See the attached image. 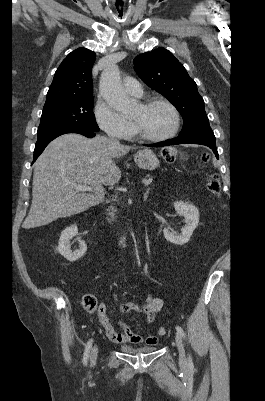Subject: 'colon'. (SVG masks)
I'll list each match as a JSON object with an SVG mask.
<instances>
[{"instance_id": "obj_1", "label": "colon", "mask_w": 265, "mask_h": 401, "mask_svg": "<svg viewBox=\"0 0 265 401\" xmlns=\"http://www.w3.org/2000/svg\"><path fill=\"white\" fill-rule=\"evenodd\" d=\"M162 157L171 163L181 162L187 159V154L185 151L174 148L167 147L164 148L161 152ZM202 161L206 162L207 157L205 155L202 156ZM207 189L208 191L214 195L219 196L221 191V183L219 176L216 173H211L207 177ZM83 306L88 312H94L98 308L97 300L92 295H86L83 298ZM167 333V330L164 327H160L158 330V334L163 336Z\"/></svg>"}]
</instances>
